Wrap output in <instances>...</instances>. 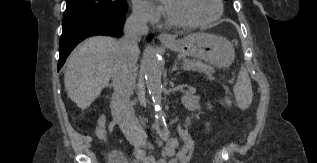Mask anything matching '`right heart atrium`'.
I'll list each match as a JSON object with an SVG mask.
<instances>
[{"label":"right heart atrium","instance_id":"1","mask_svg":"<svg viewBox=\"0 0 317 163\" xmlns=\"http://www.w3.org/2000/svg\"><path fill=\"white\" fill-rule=\"evenodd\" d=\"M132 14L135 18L148 24H156L161 16L162 9L151 0H131Z\"/></svg>","mask_w":317,"mask_h":163}]
</instances>
